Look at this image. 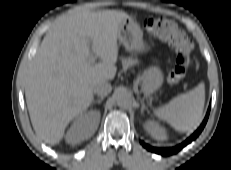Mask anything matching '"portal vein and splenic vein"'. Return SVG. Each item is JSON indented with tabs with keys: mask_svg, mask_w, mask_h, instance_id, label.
Returning a JSON list of instances; mask_svg holds the SVG:
<instances>
[{
	"mask_svg": "<svg viewBox=\"0 0 231 170\" xmlns=\"http://www.w3.org/2000/svg\"><path fill=\"white\" fill-rule=\"evenodd\" d=\"M89 61H90V62H94V58H93V57H90V58H89Z\"/></svg>",
	"mask_w": 231,
	"mask_h": 170,
	"instance_id": "18ae733b",
	"label": "portal vein and splenic vein"
}]
</instances>
